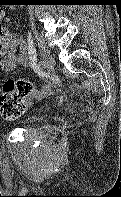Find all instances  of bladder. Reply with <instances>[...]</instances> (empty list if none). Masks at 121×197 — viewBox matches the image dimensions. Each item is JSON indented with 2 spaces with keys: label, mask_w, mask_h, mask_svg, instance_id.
<instances>
[{
  "label": "bladder",
  "mask_w": 121,
  "mask_h": 197,
  "mask_svg": "<svg viewBox=\"0 0 121 197\" xmlns=\"http://www.w3.org/2000/svg\"><path fill=\"white\" fill-rule=\"evenodd\" d=\"M36 118H37V117H34V118H32V119H29V120H27L25 123H26V124H29V123L33 122Z\"/></svg>",
  "instance_id": "1"
}]
</instances>
